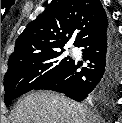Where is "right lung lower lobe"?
Returning <instances> with one entry per match:
<instances>
[{
  "label": "right lung lower lobe",
  "instance_id": "98d812e1",
  "mask_svg": "<svg viewBox=\"0 0 122 123\" xmlns=\"http://www.w3.org/2000/svg\"><path fill=\"white\" fill-rule=\"evenodd\" d=\"M78 47L83 58L89 61L87 67L78 71L81 64L73 62L53 79L37 89L64 93L76 101L92 97L98 101H109L118 87L122 74V46L115 31L108 24L91 34Z\"/></svg>",
  "mask_w": 122,
  "mask_h": 123
}]
</instances>
